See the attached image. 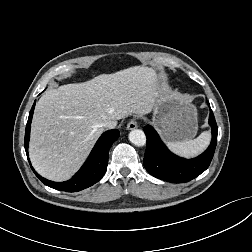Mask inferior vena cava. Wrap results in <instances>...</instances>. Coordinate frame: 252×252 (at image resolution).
<instances>
[{"label":"inferior vena cava","instance_id":"1","mask_svg":"<svg viewBox=\"0 0 252 252\" xmlns=\"http://www.w3.org/2000/svg\"><path fill=\"white\" fill-rule=\"evenodd\" d=\"M117 125L116 121L113 120H106L105 122L102 123V126L107 129H113Z\"/></svg>","mask_w":252,"mask_h":252}]
</instances>
